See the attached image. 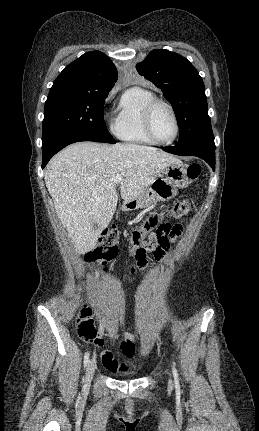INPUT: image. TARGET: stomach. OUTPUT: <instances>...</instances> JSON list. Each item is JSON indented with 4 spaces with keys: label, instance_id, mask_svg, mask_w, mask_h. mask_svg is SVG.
<instances>
[{
    "label": "stomach",
    "instance_id": "obj_1",
    "mask_svg": "<svg viewBox=\"0 0 259 431\" xmlns=\"http://www.w3.org/2000/svg\"><path fill=\"white\" fill-rule=\"evenodd\" d=\"M188 184L186 166L182 162L171 164L138 198L125 203L123 209L135 210L146 208L155 200L167 201L174 198L178 194V190L187 187Z\"/></svg>",
    "mask_w": 259,
    "mask_h": 431
}]
</instances>
